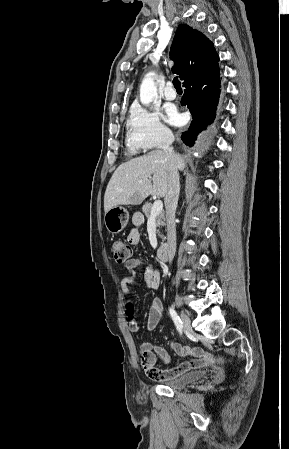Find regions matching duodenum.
Here are the masks:
<instances>
[{
    "mask_svg": "<svg viewBox=\"0 0 289 449\" xmlns=\"http://www.w3.org/2000/svg\"><path fill=\"white\" fill-rule=\"evenodd\" d=\"M157 256L161 261H166L169 256V247L166 243L159 245L157 249Z\"/></svg>",
    "mask_w": 289,
    "mask_h": 449,
    "instance_id": "obj_1",
    "label": "duodenum"
}]
</instances>
